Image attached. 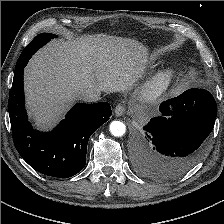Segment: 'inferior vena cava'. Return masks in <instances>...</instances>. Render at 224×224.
I'll use <instances>...</instances> for the list:
<instances>
[{
    "label": "inferior vena cava",
    "instance_id": "1",
    "mask_svg": "<svg viewBox=\"0 0 224 224\" xmlns=\"http://www.w3.org/2000/svg\"><path fill=\"white\" fill-rule=\"evenodd\" d=\"M101 92L96 89H86L80 92V100L88 103L97 102L100 100Z\"/></svg>",
    "mask_w": 224,
    "mask_h": 224
}]
</instances>
